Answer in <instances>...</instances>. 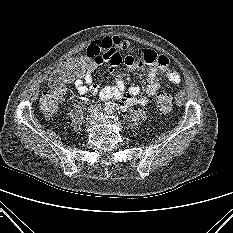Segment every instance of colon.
Here are the masks:
<instances>
[{
  "label": "colon",
  "instance_id": "5ec220e1",
  "mask_svg": "<svg viewBox=\"0 0 233 233\" xmlns=\"http://www.w3.org/2000/svg\"><path fill=\"white\" fill-rule=\"evenodd\" d=\"M95 58L92 55H81L59 64L51 73L46 89L39 100L40 108L46 115H53L57 109L61 93L67 83L76 76H81L86 69L95 64ZM147 63L157 65L155 61ZM157 109L162 113H167L172 108V97L169 93L161 92L156 97Z\"/></svg>",
  "mask_w": 233,
  "mask_h": 233
}]
</instances>
